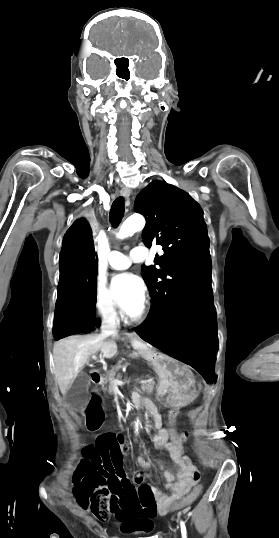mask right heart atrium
I'll list each match as a JSON object with an SVG mask.
<instances>
[{"label": "right heart atrium", "mask_w": 279, "mask_h": 538, "mask_svg": "<svg viewBox=\"0 0 279 538\" xmlns=\"http://www.w3.org/2000/svg\"><path fill=\"white\" fill-rule=\"evenodd\" d=\"M92 226L94 227L95 223H92ZM95 310L102 322L111 321L120 314L116 300L105 287L100 285L97 286L95 292Z\"/></svg>", "instance_id": "right-heart-atrium-1"}]
</instances>
